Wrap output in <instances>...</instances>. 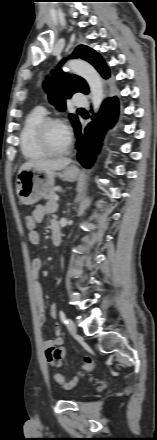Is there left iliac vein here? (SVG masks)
Listing matches in <instances>:
<instances>
[{"mask_svg": "<svg viewBox=\"0 0 157 440\" xmlns=\"http://www.w3.org/2000/svg\"><path fill=\"white\" fill-rule=\"evenodd\" d=\"M67 328H68V331L70 332V334H72V335L77 334V329H76L75 323L71 319H68Z\"/></svg>", "mask_w": 157, "mask_h": 440, "instance_id": "1", "label": "left iliac vein"}]
</instances>
